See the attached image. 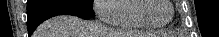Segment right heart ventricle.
Returning a JSON list of instances; mask_svg holds the SVG:
<instances>
[{
  "instance_id": "right-heart-ventricle-1",
  "label": "right heart ventricle",
  "mask_w": 219,
  "mask_h": 37,
  "mask_svg": "<svg viewBox=\"0 0 219 37\" xmlns=\"http://www.w3.org/2000/svg\"><path fill=\"white\" fill-rule=\"evenodd\" d=\"M136 0H123L119 5L120 18L115 25L126 29H152L139 22L134 14L133 8Z\"/></svg>"
}]
</instances>
